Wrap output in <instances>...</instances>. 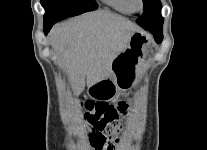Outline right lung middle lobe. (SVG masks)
Segmentation results:
<instances>
[{"instance_id": "dd1d6c3e", "label": "right lung middle lobe", "mask_w": 207, "mask_h": 150, "mask_svg": "<svg viewBox=\"0 0 207 150\" xmlns=\"http://www.w3.org/2000/svg\"><path fill=\"white\" fill-rule=\"evenodd\" d=\"M41 4L46 11L44 23L57 22L97 9L94 0H41Z\"/></svg>"}]
</instances>
